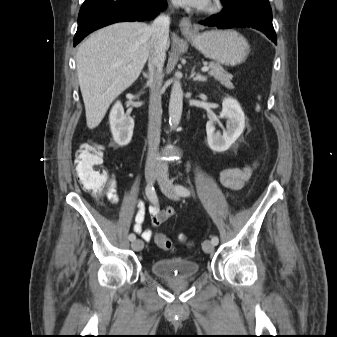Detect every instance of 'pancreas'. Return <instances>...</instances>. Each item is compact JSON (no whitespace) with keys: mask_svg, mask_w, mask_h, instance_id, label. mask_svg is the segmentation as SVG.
Segmentation results:
<instances>
[{"mask_svg":"<svg viewBox=\"0 0 337 337\" xmlns=\"http://www.w3.org/2000/svg\"><path fill=\"white\" fill-rule=\"evenodd\" d=\"M208 65L211 69L208 73L209 76H212L216 80L220 81V83L228 89L234 88L233 84L230 81L232 78L231 75L227 74L220 64L215 62H209Z\"/></svg>","mask_w":337,"mask_h":337,"instance_id":"cf45deb5","label":"pancreas"}]
</instances>
